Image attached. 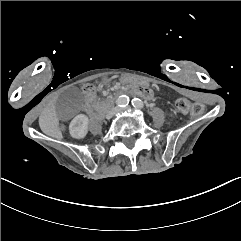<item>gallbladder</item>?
I'll return each mask as SVG.
<instances>
[{
  "label": "gallbladder",
  "instance_id": "1",
  "mask_svg": "<svg viewBox=\"0 0 241 241\" xmlns=\"http://www.w3.org/2000/svg\"><path fill=\"white\" fill-rule=\"evenodd\" d=\"M83 96L76 87H69L57 99V117L67 120L81 111Z\"/></svg>",
  "mask_w": 241,
  "mask_h": 241
}]
</instances>
